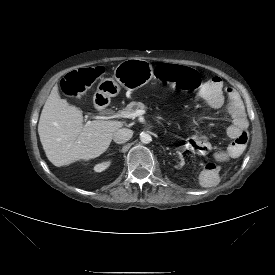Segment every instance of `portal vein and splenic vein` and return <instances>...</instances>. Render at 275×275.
<instances>
[{"mask_svg": "<svg viewBox=\"0 0 275 275\" xmlns=\"http://www.w3.org/2000/svg\"><path fill=\"white\" fill-rule=\"evenodd\" d=\"M145 113L144 110H136L135 112H124V111H121V112H118V113H115L113 115H111V117L113 118H129V119H134L136 117H139V116H142L143 114Z\"/></svg>", "mask_w": 275, "mask_h": 275, "instance_id": "portal-vein-and-splenic-vein-1", "label": "portal vein and splenic vein"}]
</instances>
